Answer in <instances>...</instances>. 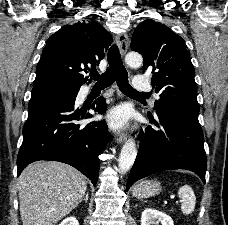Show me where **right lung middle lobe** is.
Masks as SVG:
<instances>
[{"instance_id": "1", "label": "right lung middle lobe", "mask_w": 228, "mask_h": 225, "mask_svg": "<svg viewBox=\"0 0 228 225\" xmlns=\"http://www.w3.org/2000/svg\"><path fill=\"white\" fill-rule=\"evenodd\" d=\"M79 89H73L61 85H47L32 89L31 101L56 95H75Z\"/></svg>"}]
</instances>
